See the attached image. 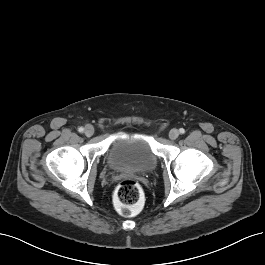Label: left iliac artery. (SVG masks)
Wrapping results in <instances>:
<instances>
[{"mask_svg":"<svg viewBox=\"0 0 265 265\" xmlns=\"http://www.w3.org/2000/svg\"><path fill=\"white\" fill-rule=\"evenodd\" d=\"M179 132H180L181 134H184V133H185V129L180 128V129H179Z\"/></svg>","mask_w":265,"mask_h":265,"instance_id":"1","label":"left iliac artery"}]
</instances>
